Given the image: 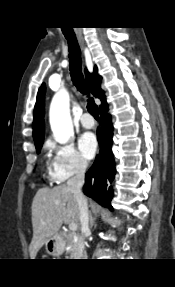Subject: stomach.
Returning a JSON list of instances; mask_svg holds the SVG:
<instances>
[{
    "label": "stomach",
    "mask_w": 175,
    "mask_h": 287,
    "mask_svg": "<svg viewBox=\"0 0 175 287\" xmlns=\"http://www.w3.org/2000/svg\"><path fill=\"white\" fill-rule=\"evenodd\" d=\"M45 248L48 254L58 256L65 249V240L60 234H54L46 241Z\"/></svg>",
    "instance_id": "stomach-1"
}]
</instances>
